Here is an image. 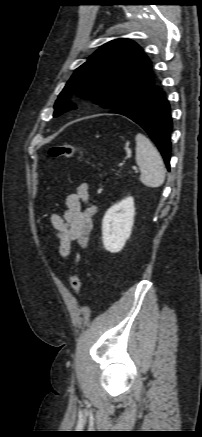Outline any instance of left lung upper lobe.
Returning a JSON list of instances; mask_svg holds the SVG:
<instances>
[{
    "label": "left lung upper lobe",
    "mask_w": 202,
    "mask_h": 437,
    "mask_svg": "<svg viewBox=\"0 0 202 437\" xmlns=\"http://www.w3.org/2000/svg\"><path fill=\"white\" fill-rule=\"evenodd\" d=\"M154 84L151 61L129 39H116L101 46L78 67L55 102L54 117L75 109L65 97L77 94L105 109H113Z\"/></svg>",
    "instance_id": "left-lung-upper-lobe-1"
}]
</instances>
